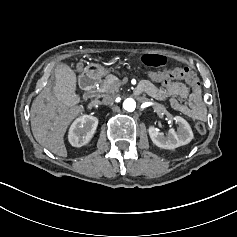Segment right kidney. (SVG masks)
<instances>
[{"mask_svg":"<svg viewBox=\"0 0 237 237\" xmlns=\"http://www.w3.org/2000/svg\"><path fill=\"white\" fill-rule=\"evenodd\" d=\"M98 126V119L91 115H83L77 118L71 125L68 140L74 147L87 144L93 137Z\"/></svg>","mask_w":237,"mask_h":237,"instance_id":"ca27d5eb","label":"right kidney"}]
</instances>
